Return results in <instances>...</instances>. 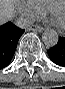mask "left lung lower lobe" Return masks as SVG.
Here are the masks:
<instances>
[{
	"mask_svg": "<svg viewBox=\"0 0 65 89\" xmlns=\"http://www.w3.org/2000/svg\"><path fill=\"white\" fill-rule=\"evenodd\" d=\"M47 52L55 64L65 67V36L60 37L57 45L47 50Z\"/></svg>",
	"mask_w": 65,
	"mask_h": 89,
	"instance_id": "1",
	"label": "left lung lower lobe"
}]
</instances>
